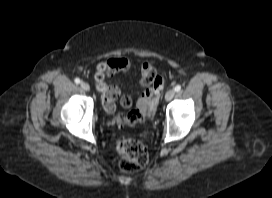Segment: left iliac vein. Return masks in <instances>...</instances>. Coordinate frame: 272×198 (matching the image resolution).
<instances>
[{
	"mask_svg": "<svg viewBox=\"0 0 272 198\" xmlns=\"http://www.w3.org/2000/svg\"><path fill=\"white\" fill-rule=\"evenodd\" d=\"M175 95V90L174 89H170L166 92L165 94V100L166 101H170Z\"/></svg>",
	"mask_w": 272,
	"mask_h": 198,
	"instance_id": "1",
	"label": "left iliac vein"
}]
</instances>
